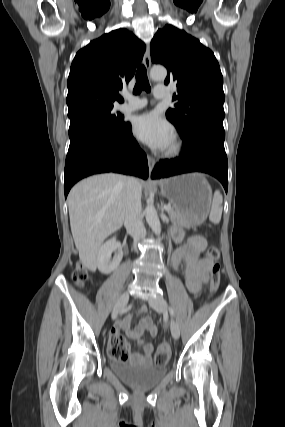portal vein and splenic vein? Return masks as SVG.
Returning <instances> with one entry per match:
<instances>
[{
    "label": "portal vein and splenic vein",
    "instance_id": "18ae733b",
    "mask_svg": "<svg viewBox=\"0 0 285 427\" xmlns=\"http://www.w3.org/2000/svg\"><path fill=\"white\" fill-rule=\"evenodd\" d=\"M164 209L167 210V211H169V210H171V206L170 205H165Z\"/></svg>",
    "mask_w": 285,
    "mask_h": 427
}]
</instances>
